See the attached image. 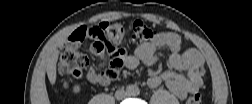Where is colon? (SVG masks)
<instances>
[{"mask_svg":"<svg viewBox=\"0 0 252 104\" xmlns=\"http://www.w3.org/2000/svg\"><path fill=\"white\" fill-rule=\"evenodd\" d=\"M157 36L154 28L143 21L135 20L128 24L107 22L94 26L83 25L73 32L67 44L61 49L57 70L61 85L70 86V81L82 76L88 64V58L80 51V46L88 39L94 40L100 56L108 60L105 71L110 79H116L122 66V56L130 44H140ZM189 103L198 104L200 93L189 97Z\"/></svg>","mask_w":252,"mask_h":104,"instance_id":"1","label":"colon"}]
</instances>
